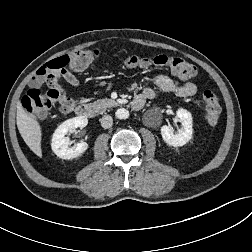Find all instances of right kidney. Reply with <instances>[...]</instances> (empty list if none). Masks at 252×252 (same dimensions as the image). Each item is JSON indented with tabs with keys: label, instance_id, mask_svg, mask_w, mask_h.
<instances>
[{
	"label": "right kidney",
	"instance_id": "right-kidney-1",
	"mask_svg": "<svg viewBox=\"0 0 252 252\" xmlns=\"http://www.w3.org/2000/svg\"><path fill=\"white\" fill-rule=\"evenodd\" d=\"M88 124V120L84 116H78L64 121L53 133L51 147L53 152L61 159H74L79 157L88 149L86 142H80L73 147H69L70 140L65 135L71 129L84 128Z\"/></svg>",
	"mask_w": 252,
	"mask_h": 252
}]
</instances>
